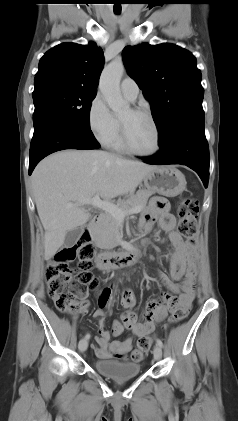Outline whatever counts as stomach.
Segmentation results:
<instances>
[{
    "label": "stomach",
    "instance_id": "1",
    "mask_svg": "<svg viewBox=\"0 0 238 421\" xmlns=\"http://www.w3.org/2000/svg\"><path fill=\"white\" fill-rule=\"evenodd\" d=\"M144 185L151 191L167 197L181 194L186 187L184 175L172 166H155L144 177Z\"/></svg>",
    "mask_w": 238,
    "mask_h": 421
}]
</instances>
